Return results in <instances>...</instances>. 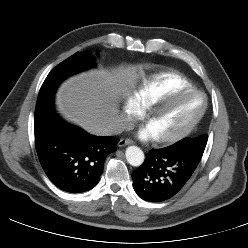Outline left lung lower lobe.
I'll list each match as a JSON object with an SVG mask.
<instances>
[{"mask_svg":"<svg viewBox=\"0 0 248 248\" xmlns=\"http://www.w3.org/2000/svg\"><path fill=\"white\" fill-rule=\"evenodd\" d=\"M203 152L174 144L152 149L144 163L132 173L136 194L148 202H162L174 197L191 178Z\"/></svg>","mask_w":248,"mask_h":248,"instance_id":"0a47b994","label":"left lung lower lobe"}]
</instances>
